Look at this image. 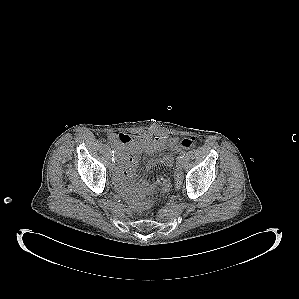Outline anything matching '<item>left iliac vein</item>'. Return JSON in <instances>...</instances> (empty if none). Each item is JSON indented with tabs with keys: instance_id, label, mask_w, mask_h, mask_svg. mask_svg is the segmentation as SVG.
I'll list each match as a JSON object with an SVG mask.
<instances>
[{
	"instance_id": "4c4485c4",
	"label": "left iliac vein",
	"mask_w": 299,
	"mask_h": 299,
	"mask_svg": "<svg viewBox=\"0 0 299 299\" xmlns=\"http://www.w3.org/2000/svg\"><path fill=\"white\" fill-rule=\"evenodd\" d=\"M183 164H184L183 159L180 158V157H178V158H177V161H176V166H177L178 168H182V167H183Z\"/></svg>"
}]
</instances>
